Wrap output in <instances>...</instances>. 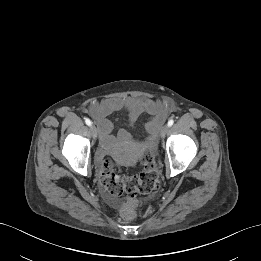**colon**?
<instances>
[{
    "mask_svg": "<svg viewBox=\"0 0 261 261\" xmlns=\"http://www.w3.org/2000/svg\"><path fill=\"white\" fill-rule=\"evenodd\" d=\"M143 171L133 176H118L114 171V164L105 159L101 165L100 182L107 192L112 195L129 196L122 204L120 214L124 220H131L136 216L135 202L131 196L153 192L158 184L157 163L151 152H146L141 158Z\"/></svg>",
    "mask_w": 261,
    "mask_h": 261,
    "instance_id": "colon-1",
    "label": "colon"
}]
</instances>
